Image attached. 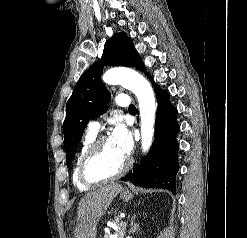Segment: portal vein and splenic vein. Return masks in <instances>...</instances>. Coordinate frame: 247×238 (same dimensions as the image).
I'll list each match as a JSON object with an SVG mask.
<instances>
[{
    "label": "portal vein and splenic vein",
    "mask_w": 247,
    "mask_h": 238,
    "mask_svg": "<svg viewBox=\"0 0 247 238\" xmlns=\"http://www.w3.org/2000/svg\"><path fill=\"white\" fill-rule=\"evenodd\" d=\"M121 224H122V225H125V226L127 225V223H126V222H122ZM113 238H115V236H114Z\"/></svg>",
    "instance_id": "18ae733b"
}]
</instances>
